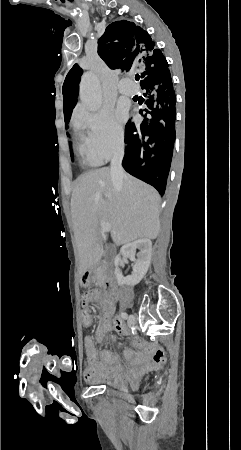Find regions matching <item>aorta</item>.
Listing matches in <instances>:
<instances>
[{
    "label": "aorta",
    "instance_id": "aorta-1",
    "mask_svg": "<svg viewBox=\"0 0 241 450\" xmlns=\"http://www.w3.org/2000/svg\"><path fill=\"white\" fill-rule=\"evenodd\" d=\"M80 100L91 111L102 105V93L98 76L94 72H85L80 82Z\"/></svg>",
    "mask_w": 241,
    "mask_h": 450
}]
</instances>
